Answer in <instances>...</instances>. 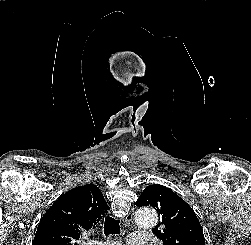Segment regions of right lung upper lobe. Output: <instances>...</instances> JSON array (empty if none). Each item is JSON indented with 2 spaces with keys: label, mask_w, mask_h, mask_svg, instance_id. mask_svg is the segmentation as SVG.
I'll return each instance as SVG.
<instances>
[{
  "label": "right lung upper lobe",
  "mask_w": 251,
  "mask_h": 245,
  "mask_svg": "<svg viewBox=\"0 0 251 245\" xmlns=\"http://www.w3.org/2000/svg\"><path fill=\"white\" fill-rule=\"evenodd\" d=\"M107 210L108 205L96 185L73 188L44 214L32 245H77L81 231L95 226Z\"/></svg>",
  "instance_id": "obj_1"
}]
</instances>
